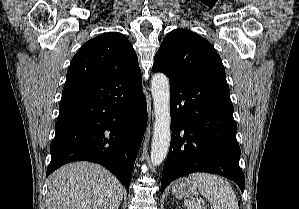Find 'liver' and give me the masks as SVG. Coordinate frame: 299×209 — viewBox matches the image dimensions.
<instances>
[{
    "instance_id": "6515ba94",
    "label": "liver",
    "mask_w": 299,
    "mask_h": 209,
    "mask_svg": "<svg viewBox=\"0 0 299 209\" xmlns=\"http://www.w3.org/2000/svg\"><path fill=\"white\" fill-rule=\"evenodd\" d=\"M124 188L107 169L90 162L67 164L49 177L47 209H118Z\"/></svg>"
}]
</instances>
